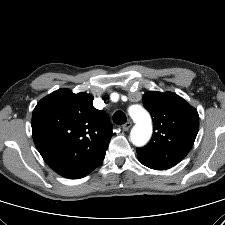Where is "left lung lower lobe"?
I'll use <instances>...</instances> for the list:
<instances>
[{"label":"left lung lower lobe","mask_w":225,"mask_h":225,"mask_svg":"<svg viewBox=\"0 0 225 225\" xmlns=\"http://www.w3.org/2000/svg\"><path fill=\"white\" fill-rule=\"evenodd\" d=\"M140 161V160H139ZM141 162V161H140ZM143 165H145V166H147V167H149V168H151V169H155V168H153V167H150V166H148V165H146L145 163H143V162H141ZM155 170H158V169H155Z\"/></svg>","instance_id":"obj_1"}]
</instances>
